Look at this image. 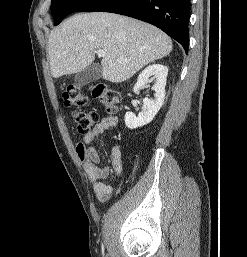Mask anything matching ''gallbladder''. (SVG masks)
<instances>
[{
	"mask_svg": "<svg viewBox=\"0 0 247 257\" xmlns=\"http://www.w3.org/2000/svg\"><path fill=\"white\" fill-rule=\"evenodd\" d=\"M102 77V68L98 63H92L82 71L78 72L74 81L77 85L84 86Z\"/></svg>",
	"mask_w": 247,
	"mask_h": 257,
	"instance_id": "obj_1",
	"label": "gallbladder"
}]
</instances>
